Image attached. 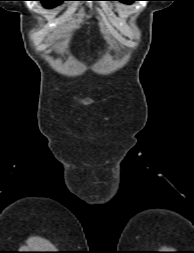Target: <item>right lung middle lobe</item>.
I'll use <instances>...</instances> for the list:
<instances>
[{"label": "right lung middle lobe", "mask_w": 194, "mask_h": 253, "mask_svg": "<svg viewBox=\"0 0 194 253\" xmlns=\"http://www.w3.org/2000/svg\"><path fill=\"white\" fill-rule=\"evenodd\" d=\"M37 1H41L43 6L46 8H53L62 3L63 1L67 0H37Z\"/></svg>", "instance_id": "obj_1"}]
</instances>
